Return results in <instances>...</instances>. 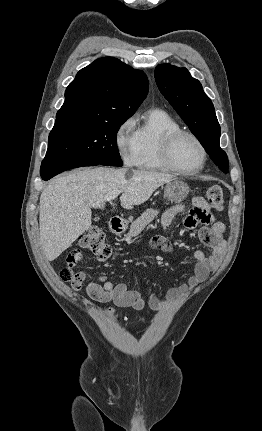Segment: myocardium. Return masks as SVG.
<instances>
[{"instance_id": "f54148a6", "label": "myocardium", "mask_w": 262, "mask_h": 431, "mask_svg": "<svg viewBox=\"0 0 262 431\" xmlns=\"http://www.w3.org/2000/svg\"><path fill=\"white\" fill-rule=\"evenodd\" d=\"M184 136L191 138L199 146L202 153V162L200 166L192 171H187L182 167H180L176 163L173 156V149L176 141L179 138ZM161 158L169 170L175 171L184 176H194L198 174L205 167L207 158H208V153L203 142L195 134L186 130L178 129V130L168 132L164 135L162 140V146H161Z\"/></svg>"}]
</instances>
